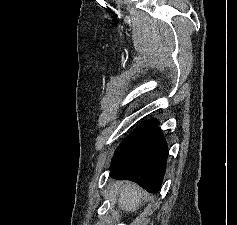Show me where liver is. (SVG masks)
Here are the masks:
<instances>
[{
    "label": "liver",
    "mask_w": 237,
    "mask_h": 225,
    "mask_svg": "<svg viewBox=\"0 0 237 225\" xmlns=\"http://www.w3.org/2000/svg\"><path fill=\"white\" fill-rule=\"evenodd\" d=\"M116 193L119 206L127 212L135 211L141 205V200L146 197L137 185L129 182L123 184Z\"/></svg>",
    "instance_id": "obj_1"
}]
</instances>
